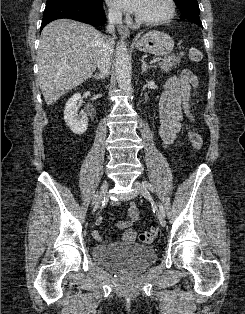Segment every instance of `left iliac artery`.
I'll return each instance as SVG.
<instances>
[{"label":"left iliac artery","mask_w":245,"mask_h":314,"mask_svg":"<svg viewBox=\"0 0 245 314\" xmlns=\"http://www.w3.org/2000/svg\"><path fill=\"white\" fill-rule=\"evenodd\" d=\"M142 184L145 188L149 189L151 192L155 191L154 187L148 181H143ZM159 210L163 214V216L165 217V210H164L162 205H159Z\"/></svg>","instance_id":"1"}]
</instances>
